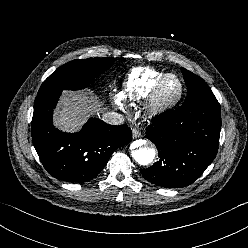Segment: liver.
Here are the masks:
<instances>
[{
	"label": "liver",
	"instance_id": "obj_1",
	"mask_svg": "<svg viewBox=\"0 0 248 248\" xmlns=\"http://www.w3.org/2000/svg\"><path fill=\"white\" fill-rule=\"evenodd\" d=\"M102 112L99 100L91 93L65 91L54 113V124L66 132H73L83 125L88 113Z\"/></svg>",
	"mask_w": 248,
	"mask_h": 248
}]
</instances>
